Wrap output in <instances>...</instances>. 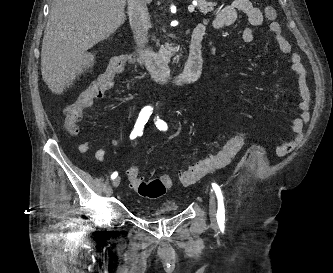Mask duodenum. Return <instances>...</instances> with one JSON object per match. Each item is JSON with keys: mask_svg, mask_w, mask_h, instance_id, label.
Segmentation results:
<instances>
[{"mask_svg": "<svg viewBox=\"0 0 333 273\" xmlns=\"http://www.w3.org/2000/svg\"><path fill=\"white\" fill-rule=\"evenodd\" d=\"M204 33L205 30L200 24L194 28L190 39L188 60L184 68L177 73H173L167 62L150 48L144 36L139 35L136 37L135 46L144 64L158 82L184 86L197 81L202 75V41Z\"/></svg>", "mask_w": 333, "mask_h": 273, "instance_id": "1", "label": "duodenum"}]
</instances>
